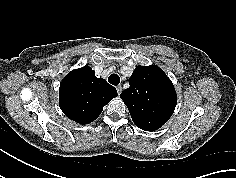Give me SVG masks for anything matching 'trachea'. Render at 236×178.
I'll return each instance as SVG.
<instances>
[{"instance_id": "obj_1", "label": "trachea", "mask_w": 236, "mask_h": 178, "mask_svg": "<svg viewBox=\"0 0 236 178\" xmlns=\"http://www.w3.org/2000/svg\"><path fill=\"white\" fill-rule=\"evenodd\" d=\"M108 82L112 85H118L120 83V77L117 74H111L108 77Z\"/></svg>"}]
</instances>
